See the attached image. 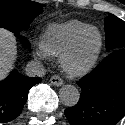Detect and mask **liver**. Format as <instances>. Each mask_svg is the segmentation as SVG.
I'll list each match as a JSON object with an SVG mask.
<instances>
[{
    "instance_id": "1",
    "label": "liver",
    "mask_w": 125,
    "mask_h": 125,
    "mask_svg": "<svg viewBox=\"0 0 125 125\" xmlns=\"http://www.w3.org/2000/svg\"><path fill=\"white\" fill-rule=\"evenodd\" d=\"M16 43L13 34L0 28V80H2L12 68L16 59Z\"/></svg>"
}]
</instances>
